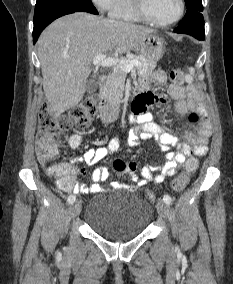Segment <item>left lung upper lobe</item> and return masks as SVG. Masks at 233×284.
I'll use <instances>...</instances> for the list:
<instances>
[{
  "mask_svg": "<svg viewBox=\"0 0 233 284\" xmlns=\"http://www.w3.org/2000/svg\"><path fill=\"white\" fill-rule=\"evenodd\" d=\"M185 3L187 7V12L182 20V24L203 19V15L200 13L201 11H203V5L201 0H185Z\"/></svg>",
  "mask_w": 233,
  "mask_h": 284,
  "instance_id": "left-lung-upper-lobe-1",
  "label": "left lung upper lobe"
}]
</instances>
